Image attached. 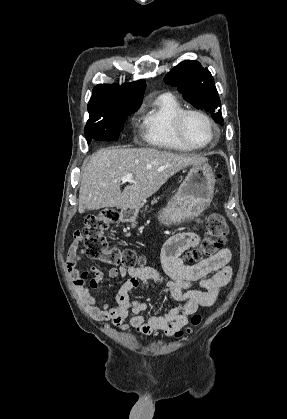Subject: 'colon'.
<instances>
[{"instance_id": "obj_1", "label": "colon", "mask_w": 287, "mask_h": 419, "mask_svg": "<svg viewBox=\"0 0 287 419\" xmlns=\"http://www.w3.org/2000/svg\"><path fill=\"white\" fill-rule=\"evenodd\" d=\"M119 214L111 208L103 209L95 214L89 215L86 225L79 232V243H83L86 253L90 258L102 260L108 264L124 266L128 268L144 267V259L127 248H120L111 245L106 234L117 224ZM229 233L228 225L224 217L219 213H212L206 222L205 238L201 246L193 249L187 254L190 262H202L203 260L216 255L224 249ZM201 315L195 314L191 319V326L196 327L201 323ZM192 327L185 331L176 333V337L192 332Z\"/></svg>"}]
</instances>
